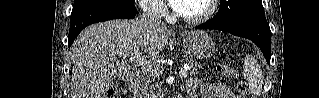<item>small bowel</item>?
I'll return each mask as SVG.
<instances>
[{"label": "small bowel", "instance_id": "c3829d8e", "mask_svg": "<svg viewBox=\"0 0 319 98\" xmlns=\"http://www.w3.org/2000/svg\"><path fill=\"white\" fill-rule=\"evenodd\" d=\"M191 97L200 98H239L223 83L203 84L198 78H190L186 84Z\"/></svg>", "mask_w": 319, "mask_h": 98}]
</instances>
